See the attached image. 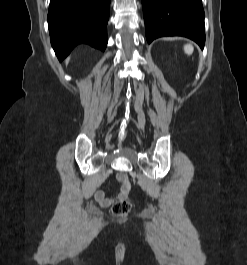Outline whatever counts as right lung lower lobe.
<instances>
[{
  "instance_id": "1",
  "label": "right lung lower lobe",
  "mask_w": 247,
  "mask_h": 265,
  "mask_svg": "<svg viewBox=\"0 0 247 265\" xmlns=\"http://www.w3.org/2000/svg\"><path fill=\"white\" fill-rule=\"evenodd\" d=\"M109 6L110 0H50V39L60 61L81 43L105 50Z\"/></svg>"
}]
</instances>
